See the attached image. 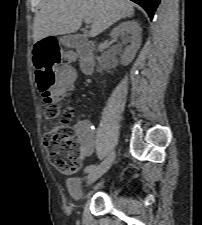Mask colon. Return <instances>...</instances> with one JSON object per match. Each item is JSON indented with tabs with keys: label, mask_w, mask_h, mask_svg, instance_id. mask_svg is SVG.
<instances>
[{
	"label": "colon",
	"mask_w": 202,
	"mask_h": 225,
	"mask_svg": "<svg viewBox=\"0 0 202 225\" xmlns=\"http://www.w3.org/2000/svg\"><path fill=\"white\" fill-rule=\"evenodd\" d=\"M36 59V81L44 101V116L47 119L62 118L63 123L44 136V145L50 163L61 173H74L80 167V149L75 132L68 124L72 117L71 109H62L60 104L66 91L55 86L61 73L53 71L54 66H63L71 59L68 51L59 47V38L47 37L39 40L33 49Z\"/></svg>",
	"instance_id": "1"
}]
</instances>
